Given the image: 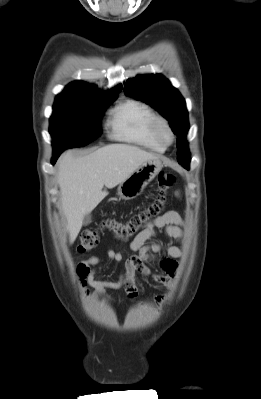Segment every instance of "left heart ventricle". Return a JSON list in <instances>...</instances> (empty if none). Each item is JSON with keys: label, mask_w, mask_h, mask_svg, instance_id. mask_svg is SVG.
I'll return each mask as SVG.
<instances>
[{"label": "left heart ventricle", "mask_w": 261, "mask_h": 399, "mask_svg": "<svg viewBox=\"0 0 261 399\" xmlns=\"http://www.w3.org/2000/svg\"><path fill=\"white\" fill-rule=\"evenodd\" d=\"M164 133H165V135H166L167 137H169V135H168V133H167L166 131H165Z\"/></svg>", "instance_id": "obj_1"}]
</instances>
